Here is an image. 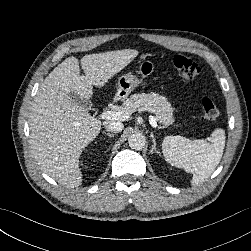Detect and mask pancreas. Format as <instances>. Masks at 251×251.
<instances>
[{
    "instance_id": "cf45deb5",
    "label": "pancreas",
    "mask_w": 251,
    "mask_h": 251,
    "mask_svg": "<svg viewBox=\"0 0 251 251\" xmlns=\"http://www.w3.org/2000/svg\"><path fill=\"white\" fill-rule=\"evenodd\" d=\"M122 108L129 112H135L139 108L150 111L155 114V119L163 125L162 128H167L174 122L171 104L164 96L156 93L131 95L130 98L124 100Z\"/></svg>"
}]
</instances>
